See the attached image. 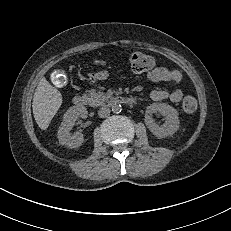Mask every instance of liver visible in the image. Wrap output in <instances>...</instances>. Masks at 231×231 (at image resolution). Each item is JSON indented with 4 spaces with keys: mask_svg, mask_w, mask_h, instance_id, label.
<instances>
[{
    "mask_svg": "<svg viewBox=\"0 0 231 231\" xmlns=\"http://www.w3.org/2000/svg\"><path fill=\"white\" fill-rule=\"evenodd\" d=\"M62 104V95L55 87L42 78L33 96L32 110L36 123L46 130Z\"/></svg>",
    "mask_w": 231,
    "mask_h": 231,
    "instance_id": "obj_1",
    "label": "liver"
}]
</instances>
